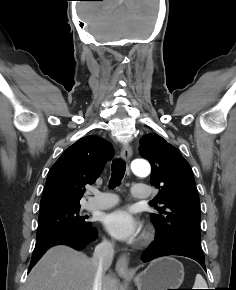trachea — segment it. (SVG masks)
<instances>
[{
  "mask_svg": "<svg viewBox=\"0 0 236 290\" xmlns=\"http://www.w3.org/2000/svg\"><path fill=\"white\" fill-rule=\"evenodd\" d=\"M112 173H111V179L109 181L110 188H115L116 186H119L126 170V164L124 161L120 159H116L112 163L111 167Z\"/></svg>",
  "mask_w": 236,
  "mask_h": 290,
  "instance_id": "trachea-1",
  "label": "trachea"
}]
</instances>
